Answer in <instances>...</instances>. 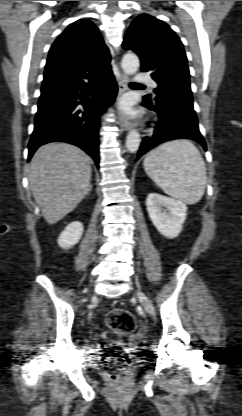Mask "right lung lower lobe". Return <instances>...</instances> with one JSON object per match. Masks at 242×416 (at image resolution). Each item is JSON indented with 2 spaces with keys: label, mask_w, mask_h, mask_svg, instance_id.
I'll list each match as a JSON object with an SVG mask.
<instances>
[{
  "label": "right lung lower lobe",
  "mask_w": 242,
  "mask_h": 416,
  "mask_svg": "<svg viewBox=\"0 0 242 416\" xmlns=\"http://www.w3.org/2000/svg\"><path fill=\"white\" fill-rule=\"evenodd\" d=\"M112 71L62 88L41 92L28 160L43 144L65 141L83 149L99 166L100 116L115 100Z\"/></svg>",
  "instance_id": "right-lung-lower-lobe-1"
}]
</instances>
